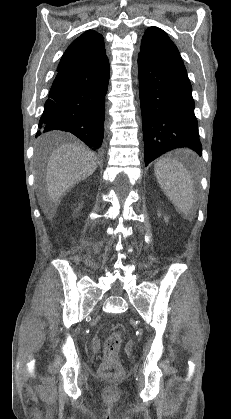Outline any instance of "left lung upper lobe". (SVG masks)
<instances>
[{"label": "left lung upper lobe", "instance_id": "obj_1", "mask_svg": "<svg viewBox=\"0 0 231 419\" xmlns=\"http://www.w3.org/2000/svg\"><path fill=\"white\" fill-rule=\"evenodd\" d=\"M140 55L150 61L185 68L177 47L158 27H150L145 31L141 41Z\"/></svg>", "mask_w": 231, "mask_h": 419}]
</instances>
